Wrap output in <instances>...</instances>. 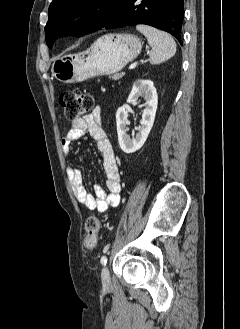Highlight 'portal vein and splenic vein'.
<instances>
[{
    "label": "portal vein and splenic vein",
    "mask_w": 240,
    "mask_h": 329,
    "mask_svg": "<svg viewBox=\"0 0 240 329\" xmlns=\"http://www.w3.org/2000/svg\"><path fill=\"white\" fill-rule=\"evenodd\" d=\"M138 62H133L129 65V69L132 70L137 66Z\"/></svg>",
    "instance_id": "obj_1"
}]
</instances>
